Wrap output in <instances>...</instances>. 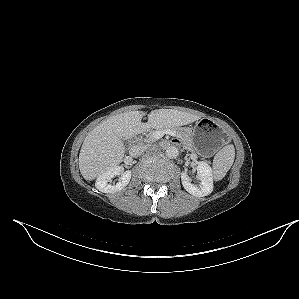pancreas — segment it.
<instances>
[{"label":"pancreas","instance_id":"pancreas-1","mask_svg":"<svg viewBox=\"0 0 299 299\" xmlns=\"http://www.w3.org/2000/svg\"><path fill=\"white\" fill-rule=\"evenodd\" d=\"M159 130H165L164 128H160ZM170 130L175 131V133L180 136L189 146L191 145V140H190V129L188 128H170ZM152 131H150L147 135H146V142H154L155 140L152 138ZM190 148V147H188ZM191 149V148H190Z\"/></svg>","mask_w":299,"mask_h":299}]
</instances>
